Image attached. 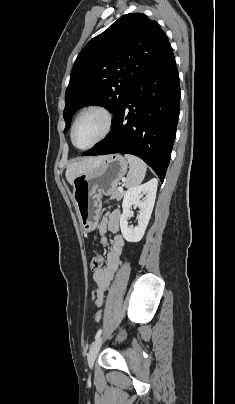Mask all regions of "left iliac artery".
I'll return each mask as SVG.
<instances>
[{
	"label": "left iliac artery",
	"instance_id": "44dca946",
	"mask_svg": "<svg viewBox=\"0 0 235 404\" xmlns=\"http://www.w3.org/2000/svg\"><path fill=\"white\" fill-rule=\"evenodd\" d=\"M101 333H102V329H99L96 336H95L96 340L100 337Z\"/></svg>",
	"mask_w": 235,
	"mask_h": 404
}]
</instances>
